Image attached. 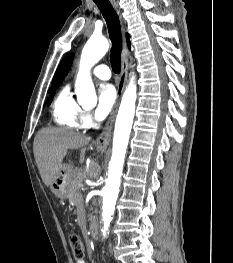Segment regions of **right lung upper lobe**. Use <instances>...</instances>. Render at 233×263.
Instances as JSON below:
<instances>
[{"label":"right lung upper lobe","mask_w":233,"mask_h":263,"mask_svg":"<svg viewBox=\"0 0 233 263\" xmlns=\"http://www.w3.org/2000/svg\"><path fill=\"white\" fill-rule=\"evenodd\" d=\"M127 42H128V47L130 48L129 35H127ZM73 58H74V55L70 54L69 56H67L63 60V62L58 67V69H57V71L55 73V76L53 78V82H52V87L51 88L58 87L62 83L65 75L68 73V71H69V69H70V67L72 65Z\"/></svg>","instance_id":"obj_1"}]
</instances>
